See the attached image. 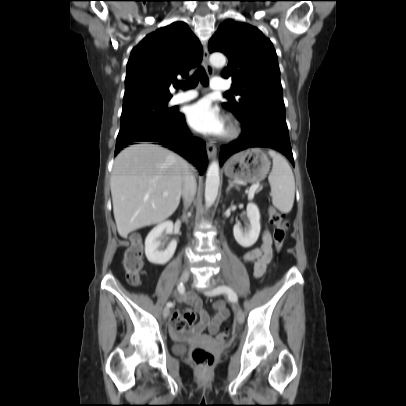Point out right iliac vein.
Wrapping results in <instances>:
<instances>
[{
	"mask_svg": "<svg viewBox=\"0 0 406 406\" xmlns=\"http://www.w3.org/2000/svg\"><path fill=\"white\" fill-rule=\"evenodd\" d=\"M190 277V272L188 270L183 271L180 277V282L181 283H186L189 280ZM170 314V309L169 307H165L163 310V317L167 318Z\"/></svg>",
	"mask_w": 406,
	"mask_h": 406,
	"instance_id": "63e3f726",
	"label": "right iliac vein"
}]
</instances>
